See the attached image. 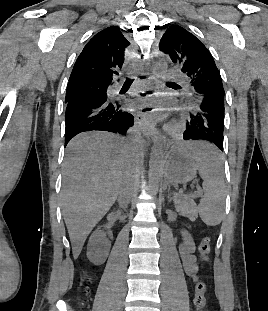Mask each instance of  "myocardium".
Returning <instances> with one entry per match:
<instances>
[{
    "mask_svg": "<svg viewBox=\"0 0 268 311\" xmlns=\"http://www.w3.org/2000/svg\"><path fill=\"white\" fill-rule=\"evenodd\" d=\"M167 131L173 135V136H177L180 133V126L178 124L175 125H171L167 128Z\"/></svg>",
    "mask_w": 268,
    "mask_h": 311,
    "instance_id": "myocardium-1",
    "label": "myocardium"
}]
</instances>
